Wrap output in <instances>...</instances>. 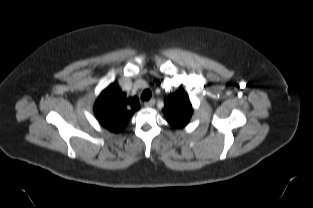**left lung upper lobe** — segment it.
Listing matches in <instances>:
<instances>
[{
  "label": "left lung upper lobe",
  "mask_w": 313,
  "mask_h": 208,
  "mask_svg": "<svg viewBox=\"0 0 313 208\" xmlns=\"http://www.w3.org/2000/svg\"><path fill=\"white\" fill-rule=\"evenodd\" d=\"M163 114L170 125L175 128L185 127L193 113L191 103L187 93L183 88H179L171 94L164 102Z\"/></svg>",
  "instance_id": "5c2ea615"
}]
</instances>
